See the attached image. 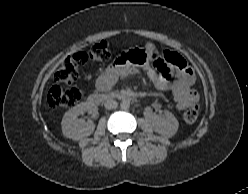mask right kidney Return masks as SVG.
Returning <instances> with one entry per match:
<instances>
[{
  "label": "right kidney",
  "mask_w": 248,
  "mask_h": 194,
  "mask_svg": "<svg viewBox=\"0 0 248 194\" xmlns=\"http://www.w3.org/2000/svg\"><path fill=\"white\" fill-rule=\"evenodd\" d=\"M85 112L97 115L98 108L93 104L83 102L65 113L61 122L62 133L65 137L78 141L94 132L95 124L92 121L85 122L78 119V116Z\"/></svg>",
  "instance_id": "obj_1"
}]
</instances>
